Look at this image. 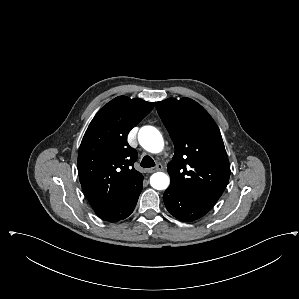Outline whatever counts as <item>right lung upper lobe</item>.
Masks as SVG:
<instances>
[{
    "instance_id": "right-lung-upper-lobe-1",
    "label": "right lung upper lobe",
    "mask_w": 299,
    "mask_h": 299,
    "mask_svg": "<svg viewBox=\"0 0 299 299\" xmlns=\"http://www.w3.org/2000/svg\"><path fill=\"white\" fill-rule=\"evenodd\" d=\"M153 108L154 103L140 98L119 96L89 124L79 149L78 174L98 216L116 207L143 181L133 167L137 152L127 143V135Z\"/></svg>"
}]
</instances>
